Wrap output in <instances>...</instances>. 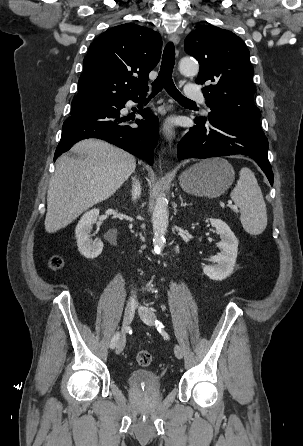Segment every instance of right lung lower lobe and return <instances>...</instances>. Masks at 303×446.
Instances as JSON below:
<instances>
[{"instance_id": "obj_1", "label": "right lung lower lobe", "mask_w": 303, "mask_h": 446, "mask_svg": "<svg viewBox=\"0 0 303 446\" xmlns=\"http://www.w3.org/2000/svg\"><path fill=\"white\" fill-rule=\"evenodd\" d=\"M145 96L146 93H143L129 100L142 102ZM127 101L71 114L63 123L62 136L54 155V161L76 142L86 138H99L152 165L159 123L156 117L148 112V109H140L139 113L144 119L136 120L138 127L133 128L126 125L125 123L130 118H121L120 109L125 107Z\"/></svg>"}]
</instances>
